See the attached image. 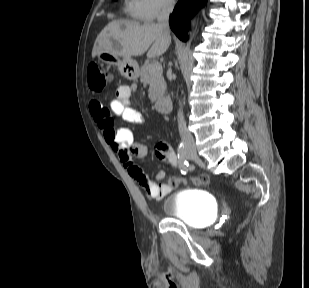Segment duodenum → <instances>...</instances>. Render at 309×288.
<instances>
[{
  "mask_svg": "<svg viewBox=\"0 0 309 288\" xmlns=\"http://www.w3.org/2000/svg\"><path fill=\"white\" fill-rule=\"evenodd\" d=\"M157 108L162 113H168L171 110V102L168 98H160L157 100Z\"/></svg>",
  "mask_w": 309,
  "mask_h": 288,
  "instance_id": "duodenum-1",
  "label": "duodenum"
}]
</instances>
